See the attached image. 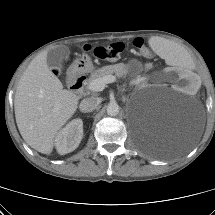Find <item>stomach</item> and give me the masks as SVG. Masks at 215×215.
Here are the masks:
<instances>
[{
  "instance_id": "1",
  "label": "stomach",
  "mask_w": 215,
  "mask_h": 215,
  "mask_svg": "<svg viewBox=\"0 0 215 215\" xmlns=\"http://www.w3.org/2000/svg\"><path fill=\"white\" fill-rule=\"evenodd\" d=\"M73 68L76 72L87 73L92 71L94 66L91 61V58L88 55L83 54L74 61Z\"/></svg>"
}]
</instances>
